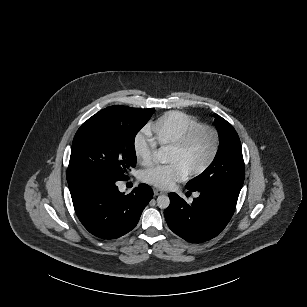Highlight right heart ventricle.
<instances>
[{"label": "right heart ventricle", "instance_id": "1", "mask_svg": "<svg viewBox=\"0 0 307 307\" xmlns=\"http://www.w3.org/2000/svg\"><path fill=\"white\" fill-rule=\"evenodd\" d=\"M200 126L189 115L170 111L164 113L157 121L151 124V129L146 132L148 137L157 147H166L177 142Z\"/></svg>", "mask_w": 307, "mask_h": 307}]
</instances>
